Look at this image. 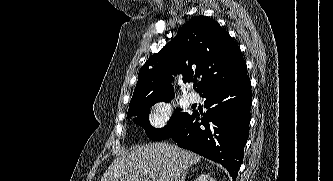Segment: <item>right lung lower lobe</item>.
I'll list each match as a JSON object with an SVG mask.
<instances>
[{
	"instance_id": "obj_1",
	"label": "right lung lower lobe",
	"mask_w": 333,
	"mask_h": 181,
	"mask_svg": "<svg viewBox=\"0 0 333 181\" xmlns=\"http://www.w3.org/2000/svg\"><path fill=\"white\" fill-rule=\"evenodd\" d=\"M201 96L206 98L209 110L201 116L193 112L170 138L179 147L220 163L235 181L249 136V76L209 89Z\"/></svg>"
}]
</instances>
